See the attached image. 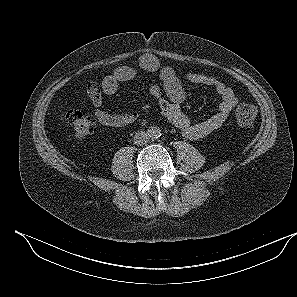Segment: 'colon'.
<instances>
[{
    "instance_id": "1",
    "label": "colon",
    "mask_w": 297,
    "mask_h": 297,
    "mask_svg": "<svg viewBox=\"0 0 297 297\" xmlns=\"http://www.w3.org/2000/svg\"><path fill=\"white\" fill-rule=\"evenodd\" d=\"M258 109L251 103H240L234 109V117L238 125L248 127L257 117ZM67 122L72 127V135L76 139H83L96 132V121L78 110H70L66 115Z\"/></svg>"
}]
</instances>
